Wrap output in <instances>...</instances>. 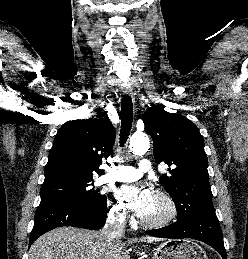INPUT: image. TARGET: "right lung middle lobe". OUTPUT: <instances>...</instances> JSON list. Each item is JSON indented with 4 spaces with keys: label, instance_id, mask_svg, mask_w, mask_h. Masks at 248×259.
Instances as JSON below:
<instances>
[{
    "label": "right lung middle lobe",
    "instance_id": "right-lung-middle-lobe-1",
    "mask_svg": "<svg viewBox=\"0 0 248 259\" xmlns=\"http://www.w3.org/2000/svg\"><path fill=\"white\" fill-rule=\"evenodd\" d=\"M92 185V180H66L46 183L41 187V200L63 199L99 207L106 206V196L91 188Z\"/></svg>",
    "mask_w": 248,
    "mask_h": 259
}]
</instances>
